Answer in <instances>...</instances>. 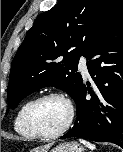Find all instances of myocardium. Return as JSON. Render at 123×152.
I'll list each match as a JSON object with an SVG mask.
<instances>
[{
    "label": "myocardium",
    "instance_id": "obj_1",
    "mask_svg": "<svg viewBox=\"0 0 123 152\" xmlns=\"http://www.w3.org/2000/svg\"><path fill=\"white\" fill-rule=\"evenodd\" d=\"M51 98H57V99L64 101L68 107L69 116H68V119H67L65 125L60 130H58L56 132H52V133H46V132L41 131L37 127V125L35 124V121H34V115H35V111H36L37 107L39 106V104L42 103L43 101H45L47 99H51ZM74 118H75V108H74L72 100L64 93L48 92V93H45V94L37 97L36 99H34L32 101V103L30 104V106L27 109L25 120H26V124H27L28 128L30 129V131L33 134H35L37 137L44 138V139H54V138H58V137L62 136L70 129V127L74 121Z\"/></svg>",
    "mask_w": 123,
    "mask_h": 152
}]
</instances>
